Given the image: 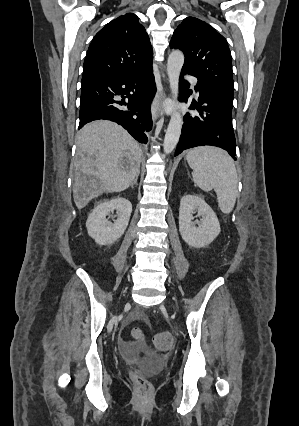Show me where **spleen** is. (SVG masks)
<instances>
[{"mask_svg":"<svg viewBox=\"0 0 299 426\" xmlns=\"http://www.w3.org/2000/svg\"><path fill=\"white\" fill-rule=\"evenodd\" d=\"M186 160L194 182L204 191L215 190L222 212L230 213L237 197V172L231 157L215 147L191 149Z\"/></svg>","mask_w":299,"mask_h":426,"instance_id":"1","label":"spleen"}]
</instances>
